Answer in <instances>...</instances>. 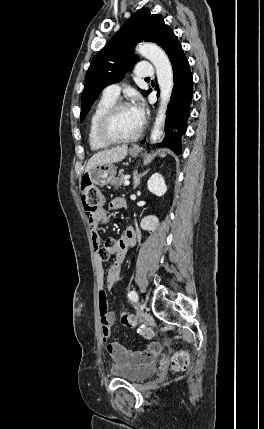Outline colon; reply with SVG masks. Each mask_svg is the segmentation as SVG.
<instances>
[{
  "mask_svg": "<svg viewBox=\"0 0 264 429\" xmlns=\"http://www.w3.org/2000/svg\"><path fill=\"white\" fill-rule=\"evenodd\" d=\"M81 197L84 209L89 217H94L105 203V197L101 190L89 181L82 182ZM120 322L127 328H137L146 338H152L154 332L138 323L137 318L130 312H120ZM189 365V355L186 351H179L172 357V368L175 371H185Z\"/></svg>",
  "mask_w": 264,
  "mask_h": 429,
  "instance_id": "obj_1",
  "label": "colon"
}]
</instances>
